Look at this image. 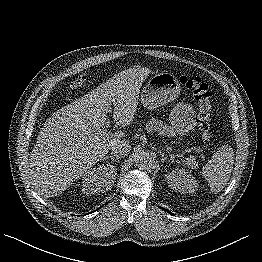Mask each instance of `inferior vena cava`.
I'll list each match as a JSON object with an SVG mask.
<instances>
[{"instance_id": "inferior-vena-cava-1", "label": "inferior vena cava", "mask_w": 262, "mask_h": 262, "mask_svg": "<svg viewBox=\"0 0 262 262\" xmlns=\"http://www.w3.org/2000/svg\"><path fill=\"white\" fill-rule=\"evenodd\" d=\"M130 150H131V146L129 142L123 140H119L115 142L111 147L112 154L116 158H122L127 156Z\"/></svg>"}]
</instances>
